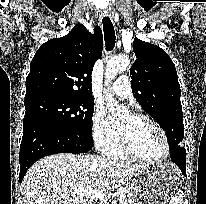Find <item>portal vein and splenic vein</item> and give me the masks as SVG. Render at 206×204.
I'll return each instance as SVG.
<instances>
[{
	"label": "portal vein and splenic vein",
	"instance_id": "18ae733b",
	"mask_svg": "<svg viewBox=\"0 0 206 204\" xmlns=\"http://www.w3.org/2000/svg\"><path fill=\"white\" fill-rule=\"evenodd\" d=\"M73 195L81 196V197H87L90 199H96V200H102L107 201V195L106 193H103L101 191H95L94 189H87V188H80L76 189L73 192ZM124 198L123 193L120 194L119 200L121 201Z\"/></svg>",
	"mask_w": 206,
	"mask_h": 204
}]
</instances>
